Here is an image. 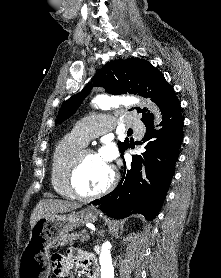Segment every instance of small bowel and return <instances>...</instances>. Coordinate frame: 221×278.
<instances>
[{
  "label": "small bowel",
  "instance_id": "small-bowel-1",
  "mask_svg": "<svg viewBox=\"0 0 221 278\" xmlns=\"http://www.w3.org/2000/svg\"><path fill=\"white\" fill-rule=\"evenodd\" d=\"M90 260L94 261L89 255L76 249H70L65 254H54L52 256V270L58 278H68L72 273L75 262L79 263L85 269Z\"/></svg>",
  "mask_w": 221,
  "mask_h": 278
}]
</instances>
